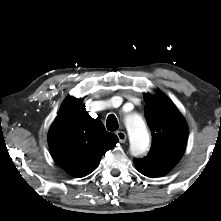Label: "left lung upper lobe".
Returning <instances> with one entry per match:
<instances>
[{"mask_svg": "<svg viewBox=\"0 0 221 221\" xmlns=\"http://www.w3.org/2000/svg\"><path fill=\"white\" fill-rule=\"evenodd\" d=\"M144 113L152 132V147L142 159H134L140 173L160 177L181 159L187 141L188 127L178 109L163 93L144 94Z\"/></svg>", "mask_w": 221, "mask_h": 221, "instance_id": "1", "label": "left lung upper lobe"}]
</instances>
